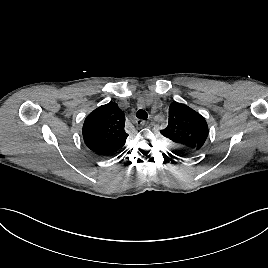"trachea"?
<instances>
[{"label":"trachea","instance_id":"1","mask_svg":"<svg viewBox=\"0 0 268 268\" xmlns=\"http://www.w3.org/2000/svg\"><path fill=\"white\" fill-rule=\"evenodd\" d=\"M136 117L139 119L146 120L148 118V114L145 110L140 109L137 111Z\"/></svg>","mask_w":268,"mask_h":268}]
</instances>
